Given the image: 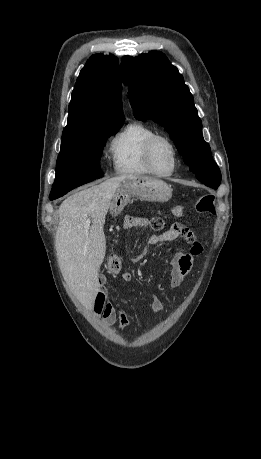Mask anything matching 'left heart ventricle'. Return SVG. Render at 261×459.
Listing matches in <instances>:
<instances>
[{"label":"left heart ventricle","instance_id":"1","mask_svg":"<svg viewBox=\"0 0 261 459\" xmlns=\"http://www.w3.org/2000/svg\"><path fill=\"white\" fill-rule=\"evenodd\" d=\"M153 164L155 169L160 173H168L174 165V157L169 145L159 141L153 151Z\"/></svg>","mask_w":261,"mask_h":459}]
</instances>
